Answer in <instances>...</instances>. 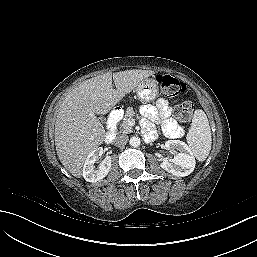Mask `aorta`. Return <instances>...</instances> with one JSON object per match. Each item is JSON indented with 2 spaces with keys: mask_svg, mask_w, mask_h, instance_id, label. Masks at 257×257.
<instances>
[{
  "mask_svg": "<svg viewBox=\"0 0 257 257\" xmlns=\"http://www.w3.org/2000/svg\"><path fill=\"white\" fill-rule=\"evenodd\" d=\"M140 143H141V141H140L139 137L133 136V137L130 138L129 144L132 147H138L140 145Z\"/></svg>",
  "mask_w": 257,
  "mask_h": 257,
  "instance_id": "obj_1",
  "label": "aorta"
}]
</instances>
